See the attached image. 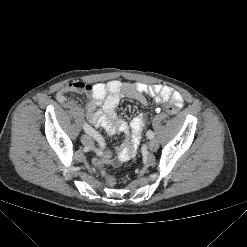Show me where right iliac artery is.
Listing matches in <instances>:
<instances>
[{
	"mask_svg": "<svg viewBox=\"0 0 247 247\" xmlns=\"http://www.w3.org/2000/svg\"><path fill=\"white\" fill-rule=\"evenodd\" d=\"M83 129H84V131H85L87 134H89V135H91L93 138H95V139L99 142V144H100L101 146H104V141H103L101 135H100L97 131H95L90 125H88L87 123H84V124H83Z\"/></svg>",
	"mask_w": 247,
	"mask_h": 247,
	"instance_id": "right-iliac-artery-1",
	"label": "right iliac artery"
}]
</instances>
